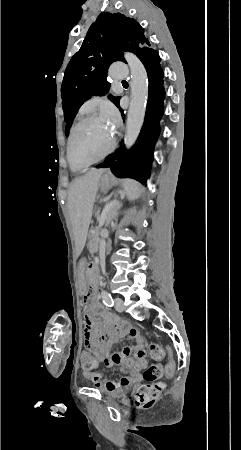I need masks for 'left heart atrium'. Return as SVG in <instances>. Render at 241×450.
Wrapping results in <instances>:
<instances>
[{"label": "left heart atrium", "mask_w": 241, "mask_h": 450, "mask_svg": "<svg viewBox=\"0 0 241 450\" xmlns=\"http://www.w3.org/2000/svg\"><path fill=\"white\" fill-rule=\"evenodd\" d=\"M107 113H108L110 119H111L115 124H117V123L119 122V116H118L117 112H116L114 109L108 108V109H107Z\"/></svg>", "instance_id": "obj_1"}]
</instances>
